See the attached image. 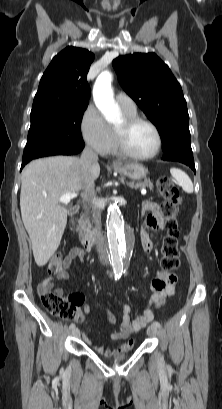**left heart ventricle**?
I'll return each instance as SVG.
<instances>
[{"instance_id": "1", "label": "left heart ventricle", "mask_w": 222, "mask_h": 409, "mask_svg": "<svg viewBox=\"0 0 222 409\" xmlns=\"http://www.w3.org/2000/svg\"><path fill=\"white\" fill-rule=\"evenodd\" d=\"M124 125L125 120L117 126V129H122ZM126 141L129 149L138 155L151 153L155 149L157 143L155 132L146 124H137L132 127L127 132Z\"/></svg>"}]
</instances>
